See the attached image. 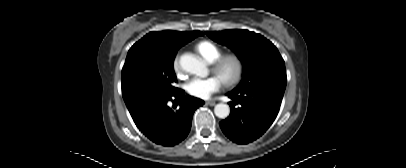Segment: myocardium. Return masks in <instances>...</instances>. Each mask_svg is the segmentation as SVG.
<instances>
[{"instance_id":"1","label":"myocardium","mask_w":406,"mask_h":168,"mask_svg":"<svg viewBox=\"0 0 406 168\" xmlns=\"http://www.w3.org/2000/svg\"><path fill=\"white\" fill-rule=\"evenodd\" d=\"M229 65L233 67V73L231 76L221 79L227 87H232L240 82L244 73V62L238 54L230 53L220 56L213 62L212 71L220 77L224 69Z\"/></svg>"}]
</instances>
